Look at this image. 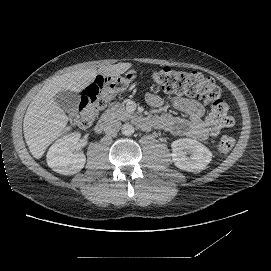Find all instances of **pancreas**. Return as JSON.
Segmentation results:
<instances>
[{"mask_svg":"<svg viewBox=\"0 0 271 271\" xmlns=\"http://www.w3.org/2000/svg\"><path fill=\"white\" fill-rule=\"evenodd\" d=\"M105 114L122 121L132 118V115L126 111L125 106L121 103H113L111 107L105 111Z\"/></svg>","mask_w":271,"mask_h":271,"instance_id":"pancreas-1","label":"pancreas"}]
</instances>
